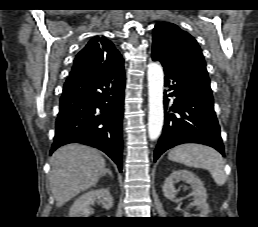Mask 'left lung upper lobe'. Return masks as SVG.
I'll use <instances>...</instances> for the list:
<instances>
[{"instance_id": "5c2ea615", "label": "left lung upper lobe", "mask_w": 258, "mask_h": 227, "mask_svg": "<svg viewBox=\"0 0 258 227\" xmlns=\"http://www.w3.org/2000/svg\"><path fill=\"white\" fill-rule=\"evenodd\" d=\"M152 55L166 65L209 81L205 60L196 40L173 23L159 22L155 25Z\"/></svg>"}]
</instances>
